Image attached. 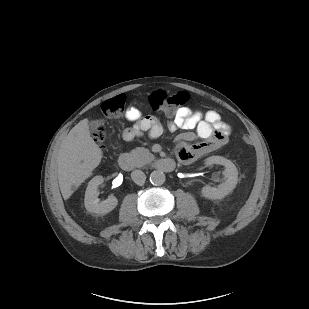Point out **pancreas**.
<instances>
[{"mask_svg": "<svg viewBox=\"0 0 309 309\" xmlns=\"http://www.w3.org/2000/svg\"><path fill=\"white\" fill-rule=\"evenodd\" d=\"M131 158L136 167H143L155 159L154 155L150 151L143 147H137L130 153Z\"/></svg>", "mask_w": 309, "mask_h": 309, "instance_id": "pancreas-1", "label": "pancreas"}]
</instances>
